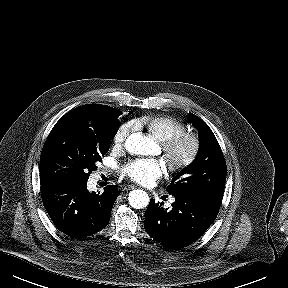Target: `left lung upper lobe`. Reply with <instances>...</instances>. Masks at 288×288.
Returning <instances> with one entry per match:
<instances>
[{
	"label": "left lung upper lobe",
	"instance_id": "left-lung-upper-lobe-1",
	"mask_svg": "<svg viewBox=\"0 0 288 288\" xmlns=\"http://www.w3.org/2000/svg\"><path fill=\"white\" fill-rule=\"evenodd\" d=\"M188 121L199 130V151L196 159L172 179L168 193L194 197L220 206L227 173L220 145L202 119L189 113Z\"/></svg>",
	"mask_w": 288,
	"mask_h": 288
}]
</instances>
